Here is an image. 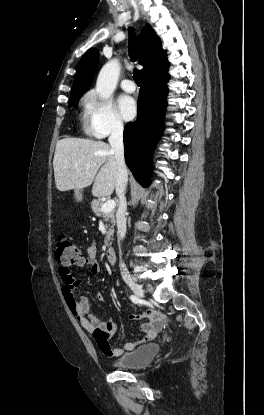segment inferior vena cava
I'll return each mask as SVG.
<instances>
[{
  "label": "inferior vena cava",
  "mask_w": 264,
  "mask_h": 415,
  "mask_svg": "<svg viewBox=\"0 0 264 415\" xmlns=\"http://www.w3.org/2000/svg\"><path fill=\"white\" fill-rule=\"evenodd\" d=\"M109 143L111 150L115 155L117 163V180H116V194L119 198V207L116 213L117 219V233L120 240H123L126 235V218L125 212L127 208L125 192L128 181V172L124 159V146H123V124L116 122L113 125L111 135L109 137ZM120 270L122 275L128 273L126 265L123 261L120 262Z\"/></svg>",
  "instance_id": "obj_1"
}]
</instances>
